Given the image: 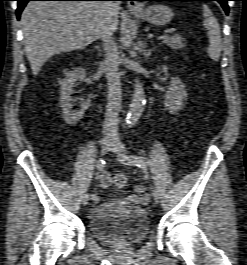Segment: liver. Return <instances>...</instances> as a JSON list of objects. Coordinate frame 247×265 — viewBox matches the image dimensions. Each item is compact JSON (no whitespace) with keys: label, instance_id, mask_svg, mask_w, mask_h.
Returning <instances> with one entry per match:
<instances>
[{"label":"liver","instance_id":"obj_1","mask_svg":"<svg viewBox=\"0 0 247 265\" xmlns=\"http://www.w3.org/2000/svg\"><path fill=\"white\" fill-rule=\"evenodd\" d=\"M118 3L108 15L102 2L31 1L21 15L25 53L36 76L52 56L90 45L100 38L103 22L117 30Z\"/></svg>","mask_w":247,"mask_h":265}]
</instances>
